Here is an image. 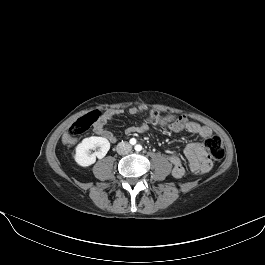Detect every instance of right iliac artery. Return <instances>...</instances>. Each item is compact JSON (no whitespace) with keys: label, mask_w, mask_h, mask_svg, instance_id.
<instances>
[{"label":"right iliac artery","mask_w":265,"mask_h":265,"mask_svg":"<svg viewBox=\"0 0 265 265\" xmlns=\"http://www.w3.org/2000/svg\"><path fill=\"white\" fill-rule=\"evenodd\" d=\"M130 143H131L132 145H134V144L136 143V139L132 138V139L130 140Z\"/></svg>","instance_id":"right-iliac-artery-1"}]
</instances>
